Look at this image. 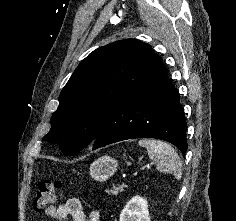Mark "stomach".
Here are the masks:
<instances>
[{"label":"stomach","instance_id":"1","mask_svg":"<svg viewBox=\"0 0 236 221\" xmlns=\"http://www.w3.org/2000/svg\"><path fill=\"white\" fill-rule=\"evenodd\" d=\"M118 162L109 156H102L90 166V176L96 181L108 180L117 170Z\"/></svg>","mask_w":236,"mask_h":221}]
</instances>
